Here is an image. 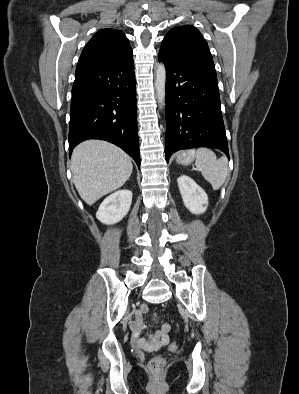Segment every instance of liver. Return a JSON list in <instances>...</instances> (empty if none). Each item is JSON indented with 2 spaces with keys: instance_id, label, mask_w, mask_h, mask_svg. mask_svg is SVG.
<instances>
[{
  "instance_id": "obj_1",
  "label": "liver",
  "mask_w": 299,
  "mask_h": 394,
  "mask_svg": "<svg viewBox=\"0 0 299 394\" xmlns=\"http://www.w3.org/2000/svg\"><path fill=\"white\" fill-rule=\"evenodd\" d=\"M132 170L129 155L106 141H85L72 153L73 181L80 197L88 205L122 187Z\"/></svg>"
}]
</instances>
